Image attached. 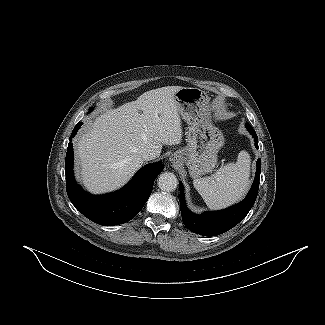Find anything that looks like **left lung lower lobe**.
Instances as JSON below:
<instances>
[{
	"instance_id": "obj_1",
	"label": "left lung lower lobe",
	"mask_w": 325,
	"mask_h": 325,
	"mask_svg": "<svg viewBox=\"0 0 325 325\" xmlns=\"http://www.w3.org/2000/svg\"><path fill=\"white\" fill-rule=\"evenodd\" d=\"M247 130L252 134L255 147L258 148V138L255 130L250 124L245 125ZM261 172V159L257 160V170L252 187L245 197V199L228 208L215 212H204L203 214L196 215L188 210L184 199V189L181 182L180 185V210L184 225L192 232L204 236H216L222 234L242 221L255 203L258 189L259 179Z\"/></svg>"
}]
</instances>
